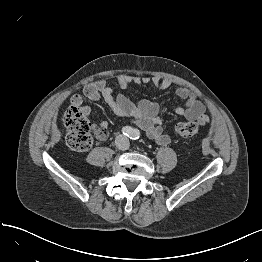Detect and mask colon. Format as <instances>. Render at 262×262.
Listing matches in <instances>:
<instances>
[{"instance_id": "5ec220e1", "label": "colon", "mask_w": 262, "mask_h": 262, "mask_svg": "<svg viewBox=\"0 0 262 262\" xmlns=\"http://www.w3.org/2000/svg\"><path fill=\"white\" fill-rule=\"evenodd\" d=\"M65 139L68 145L83 151L92 145L90 121L86 111L75 102H69L63 112ZM176 131L182 140L189 142L197 133L198 125L194 121H182L176 124Z\"/></svg>"}]
</instances>
